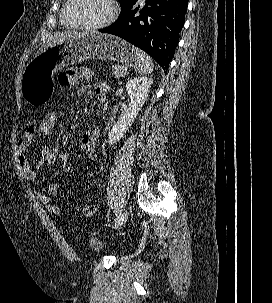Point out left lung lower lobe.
Segmentation results:
<instances>
[{
    "instance_id": "obj_1",
    "label": "left lung lower lobe",
    "mask_w": 272,
    "mask_h": 303,
    "mask_svg": "<svg viewBox=\"0 0 272 303\" xmlns=\"http://www.w3.org/2000/svg\"><path fill=\"white\" fill-rule=\"evenodd\" d=\"M130 7L102 33L119 36L146 51L167 72L185 22L187 0H146Z\"/></svg>"
}]
</instances>
